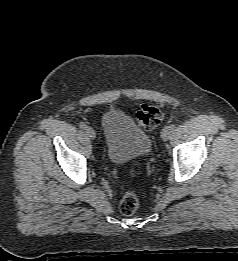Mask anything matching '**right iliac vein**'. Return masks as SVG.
Here are the masks:
<instances>
[{
	"label": "right iliac vein",
	"instance_id": "63e3f726",
	"mask_svg": "<svg viewBox=\"0 0 238 261\" xmlns=\"http://www.w3.org/2000/svg\"><path fill=\"white\" fill-rule=\"evenodd\" d=\"M86 135L90 138V139H95L96 134L93 128L91 127H86L85 129Z\"/></svg>",
	"mask_w": 238,
	"mask_h": 261
}]
</instances>
